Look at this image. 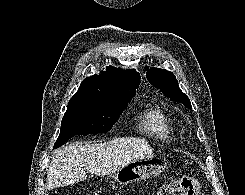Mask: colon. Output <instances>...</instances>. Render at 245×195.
I'll list each match as a JSON object with an SVG mask.
<instances>
[{"label":"colon","mask_w":245,"mask_h":195,"mask_svg":"<svg viewBox=\"0 0 245 195\" xmlns=\"http://www.w3.org/2000/svg\"><path fill=\"white\" fill-rule=\"evenodd\" d=\"M199 182L194 177L184 176L163 186L157 195H198Z\"/></svg>","instance_id":"1"}]
</instances>
